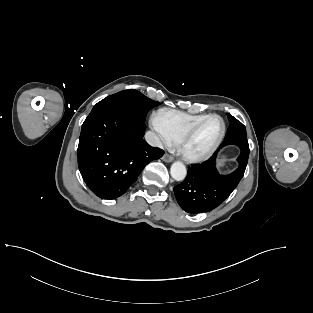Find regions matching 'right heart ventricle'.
<instances>
[{"label": "right heart ventricle", "mask_w": 313, "mask_h": 313, "mask_svg": "<svg viewBox=\"0 0 313 313\" xmlns=\"http://www.w3.org/2000/svg\"><path fill=\"white\" fill-rule=\"evenodd\" d=\"M207 114H189L177 110L164 109L156 115L157 123L172 144L178 142L185 131Z\"/></svg>", "instance_id": "1"}]
</instances>
